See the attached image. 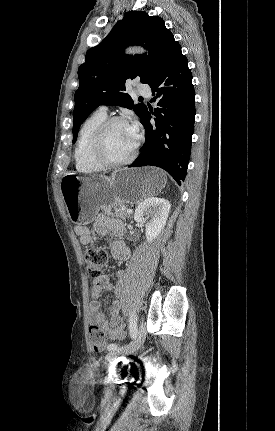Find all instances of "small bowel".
Returning a JSON list of instances; mask_svg holds the SVG:
<instances>
[{"label":"small bowel","mask_w":275,"mask_h":431,"mask_svg":"<svg viewBox=\"0 0 275 431\" xmlns=\"http://www.w3.org/2000/svg\"><path fill=\"white\" fill-rule=\"evenodd\" d=\"M94 231L102 236H106L109 233L121 236L124 233V226L118 220L100 217L95 222ZM75 233L79 236L81 244L89 245L92 242V230L90 228L77 225ZM110 250L113 257L119 261H126L131 255L130 248L121 240H113L110 243ZM123 275V272H118L119 277ZM111 286V281L107 275H101L93 280L90 287L91 301L89 304L88 319L90 324L100 326L106 332L109 339L119 341L125 336V329L120 324L121 304L118 300L112 302L109 307V316L107 317L102 311L100 301L101 292L111 289Z\"/></svg>","instance_id":"small-bowel-1"}]
</instances>
